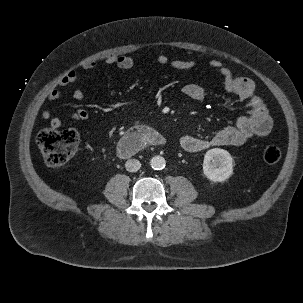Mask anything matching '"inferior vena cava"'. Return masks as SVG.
I'll return each mask as SVG.
<instances>
[{
  "label": "inferior vena cava",
  "instance_id": "obj_1",
  "mask_svg": "<svg viewBox=\"0 0 303 303\" xmlns=\"http://www.w3.org/2000/svg\"><path fill=\"white\" fill-rule=\"evenodd\" d=\"M126 170L129 172H136L140 169L141 163L137 159H129L125 163Z\"/></svg>",
  "mask_w": 303,
  "mask_h": 303
}]
</instances>
